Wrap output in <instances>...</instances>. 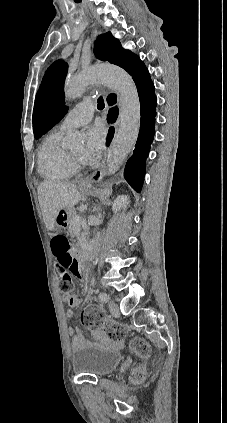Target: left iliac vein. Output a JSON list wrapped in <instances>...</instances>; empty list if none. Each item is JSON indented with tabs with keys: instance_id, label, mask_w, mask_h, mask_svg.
Here are the masks:
<instances>
[{
	"instance_id": "1",
	"label": "left iliac vein",
	"mask_w": 227,
	"mask_h": 423,
	"mask_svg": "<svg viewBox=\"0 0 227 423\" xmlns=\"http://www.w3.org/2000/svg\"><path fill=\"white\" fill-rule=\"evenodd\" d=\"M109 310H110L111 314L115 317H118L119 314H120L119 307L117 305H115L114 303L109 304Z\"/></svg>"
}]
</instances>
